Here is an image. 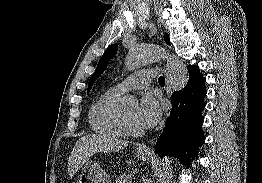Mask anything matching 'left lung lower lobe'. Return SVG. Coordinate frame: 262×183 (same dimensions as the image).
Listing matches in <instances>:
<instances>
[{
	"mask_svg": "<svg viewBox=\"0 0 262 183\" xmlns=\"http://www.w3.org/2000/svg\"><path fill=\"white\" fill-rule=\"evenodd\" d=\"M188 71L187 85L172 94L170 116L155 145V151L160 156H174L186 165L191 161V154H196L205 139L202 111L207 94L206 79L198 66L189 65Z\"/></svg>",
	"mask_w": 262,
	"mask_h": 183,
	"instance_id": "0a47b994",
	"label": "left lung lower lobe"
}]
</instances>
